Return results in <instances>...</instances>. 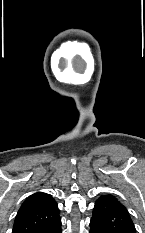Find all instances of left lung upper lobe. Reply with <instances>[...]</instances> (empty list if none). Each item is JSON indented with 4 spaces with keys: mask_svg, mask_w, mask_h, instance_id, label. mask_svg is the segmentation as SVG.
<instances>
[{
    "mask_svg": "<svg viewBox=\"0 0 145 233\" xmlns=\"http://www.w3.org/2000/svg\"><path fill=\"white\" fill-rule=\"evenodd\" d=\"M91 220L106 233H136L126 207L112 195L97 199Z\"/></svg>",
    "mask_w": 145,
    "mask_h": 233,
    "instance_id": "left-lung-upper-lobe-1",
    "label": "left lung upper lobe"
}]
</instances>
